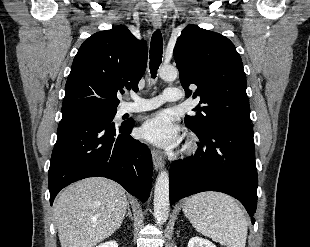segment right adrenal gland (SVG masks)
I'll use <instances>...</instances> for the list:
<instances>
[{
    "instance_id": "right-adrenal-gland-1",
    "label": "right adrenal gland",
    "mask_w": 310,
    "mask_h": 247,
    "mask_svg": "<svg viewBox=\"0 0 310 247\" xmlns=\"http://www.w3.org/2000/svg\"><path fill=\"white\" fill-rule=\"evenodd\" d=\"M127 214H126V217L127 216H129L131 219H132V213H131V210H130V207H129V205H128V207H127Z\"/></svg>"
}]
</instances>
